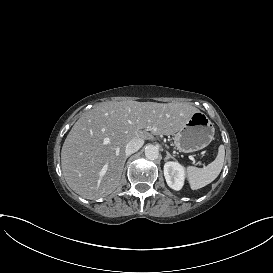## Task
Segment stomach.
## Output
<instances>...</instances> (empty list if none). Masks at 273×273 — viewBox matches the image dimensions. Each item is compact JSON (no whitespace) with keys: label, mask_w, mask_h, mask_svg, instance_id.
Wrapping results in <instances>:
<instances>
[{"label":"stomach","mask_w":273,"mask_h":273,"mask_svg":"<svg viewBox=\"0 0 273 273\" xmlns=\"http://www.w3.org/2000/svg\"><path fill=\"white\" fill-rule=\"evenodd\" d=\"M214 134L213 123L204 113L197 112L174 135V143L181 152H195L207 147Z\"/></svg>","instance_id":"stomach-1"}]
</instances>
